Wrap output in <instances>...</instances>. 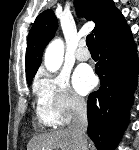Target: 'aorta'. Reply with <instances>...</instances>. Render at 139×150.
I'll return each instance as SVG.
<instances>
[{"mask_svg": "<svg viewBox=\"0 0 139 150\" xmlns=\"http://www.w3.org/2000/svg\"><path fill=\"white\" fill-rule=\"evenodd\" d=\"M64 56V43L61 39L53 40L47 47L44 64L50 72H56L62 65Z\"/></svg>", "mask_w": 139, "mask_h": 150, "instance_id": "1", "label": "aorta"}]
</instances>
